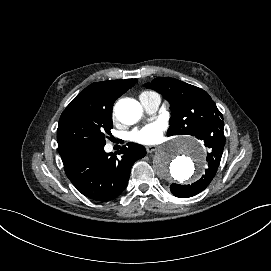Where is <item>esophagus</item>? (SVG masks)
I'll list each match as a JSON object with an SVG mask.
<instances>
[{"instance_id":"obj_1","label":"esophagus","mask_w":271,"mask_h":271,"mask_svg":"<svg viewBox=\"0 0 271 271\" xmlns=\"http://www.w3.org/2000/svg\"><path fill=\"white\" fill-rule=\"evenodd\" d=\"M147 153H152L157 150L158 146L157 145H148L145 147Z\"/></svg>"}]
</instances>
